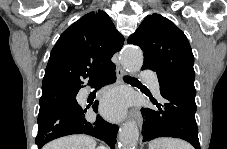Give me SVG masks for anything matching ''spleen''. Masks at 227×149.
<instances>
[{"instance_id":"obj_1","label":"spleen","mask_w":227,"mask_h":149,"mask_svg":"<svg viewBox=\"0 0 227 149\" xmlns=\"http://www.w3.org/2000/svg\"><path fill=\"white\" fill-rule=\"evenodd\" d=\"M149 149H192V147L179 139L157 138L149 143Z\"/></svg>"}]
</instances>
